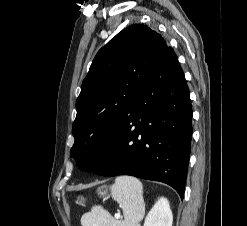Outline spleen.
I'll use <instances>...</instances> for the list:
<instances>
[{
	"label": "spleen",
	"mask_w": 247,
	"mask_h": 226,
	"mask_svg": "<svg viewBox=\"0 0 247 226\" xmlns=\"http://www.w3.org/2000/svg\"><path fill=\"white\" fill-rule=\"evenodd\" d=\"M112 198L119 203L124 220L116 221L101 206L81 217L82 226H139L144 213L143 185L135 177L119 176L111 186Z\"/></svg>",
	"instance_id": "obj_1"
}]
</instances>
